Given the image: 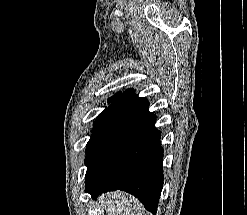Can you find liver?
Here are the masks:
<instances>
[{"instance_id": "liver-1", "label": "liver", "mask_w": 247, "mask_h": 215, "mask_svg": "<svg viewBox=\"0 0 247 215\" xmlns=\"http://www.w3.org/2000/svg\"><path fill=\"white\" fill-rule=\"evenodd\" d=\"M101 206L107 215H143V206L124 192H110L104 195Z\"/></svg>"}]
</instances>
